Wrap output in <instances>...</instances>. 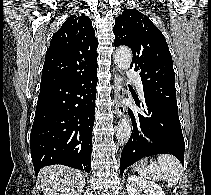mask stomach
<instances>
[{
  "label": "stomach",
  "instance_id": "obj_1",
  "mask_svg": "<svg viewBox=\"0 0 211 195\" xmlns=\"http://www.w3.org/2000/svg\"><path fill=\"white\" fill-rule=\"evenodd\" d=\"M146 164H147V160H142L140 165H141L142 167H144Z\"/></svg>",
  "mask_w": 211,
  "mask_h": 195
}]
</instances>
